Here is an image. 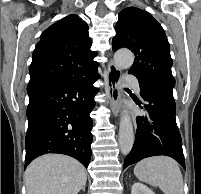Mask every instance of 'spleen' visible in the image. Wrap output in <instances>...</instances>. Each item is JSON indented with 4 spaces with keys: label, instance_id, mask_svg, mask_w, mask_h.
Masks as SVG:
<instances>
[{
    "label": "spleen",
    "instance_id": "spleen-1",
    "mask_svg": "<svg viewBox=\"0 0 201 194\" xmlns=\"http://www.w3.org/2000/svg\"><path fill=\"white\" fill-rule=\"evenodd\" d=\"M135 176L164 194H183V177L178 163L170 157L143 159L134 168Z\"/></svg>",
    "mask_w": 201,
    "mask_h": 194
}]
</instances>
